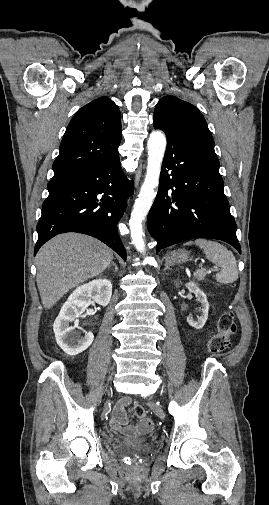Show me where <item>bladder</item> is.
Listing matches in <instances>:
<instances>
[{
    "mask_svg": "<svg viewBox=\"0 0 269 505\" xmlns=\"http://www.w3.org/2000/svg\"><path fill=\"white\" fill-rule=\"evenodd\" d=\"M131 441H132L133 443H135V444H140V443L145 442V441H146V439H144V438H135V439H132Z\"/></svg>",
    "mask_w": 269,
    "mask_h": 505,
    "instance_id": "obj_1",
    "label": "bladder"
}]
</instances>
